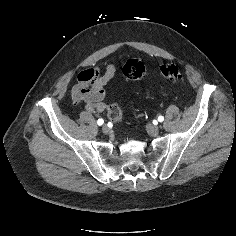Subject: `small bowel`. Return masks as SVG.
Masks as SVG:
<instances>
[{
    "label": "small bowel",
    "mask_w": 236,
    "mask_h": 236,
    "mask_svg": "<svg viewBox=\"0 0 236 236\" xmlns=\"http://www.w3.org/2000/svg\"><path fill=\"white\" fill-rule=\"evenodd\" d=\"M116 65L110 63L102 72L99 68H90L78 74V83L72 91L76 102H85L90 113L103 112L107 108L105 85L114 77Z\"/></svg>",
    "instance_id": "obj_1"
}]
</instances>
